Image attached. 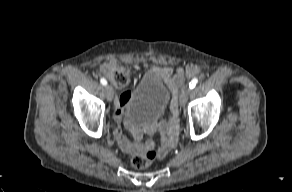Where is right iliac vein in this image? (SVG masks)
<instances>
[{"label":"right iliac vein","mask_w":292,"mask_h":192,"mask_svg":"<svg viewBox=\"0 0 292 192\" xmlns=\"http://www.w3.org/2000/svg\"><path fill=\"white\" fill-rule=\"evenodd\" d=\"M105 91H106V98H107V100L108 101H112L113 95H114L113 88L110 85H108V86H106Z\"/></svg>","instance_id":"right-iliac-vein-1"}]
</instances>
